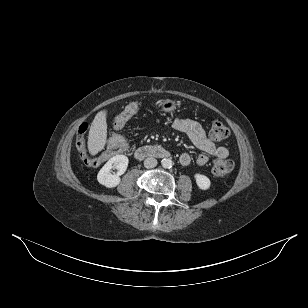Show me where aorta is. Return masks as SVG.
Wrapping results in <instances>:
<instances>
[{
    "instance_id": "762f6f07",
    "label": "aorta",
    "mask_w": 308,
    "mask_h": 308,
    "mask_svg": "<svg viewBox=\"0 0 308 308\" xmlns=\"http://www.w3.org/2000/svg\"><path fill=\"white\" fill-rule=\"evenodd\" d=\"M161 164L164 168H171L173 166V161L169 158H164L162 159Z\"/></svg>"
}]
</instances>
